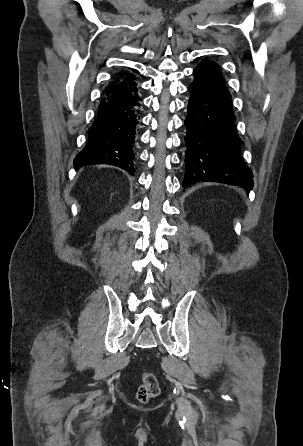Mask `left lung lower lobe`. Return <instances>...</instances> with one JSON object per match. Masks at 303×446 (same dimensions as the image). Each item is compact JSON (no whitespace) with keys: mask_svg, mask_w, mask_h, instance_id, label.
I'll list each match as a JSON object with an SVG mask.
<instances>
[{"mask_svg":"<svg viewBox=\"0 0 303 446\" xmlns=\"http://www.w3.org/2000/svg\"><path fill=\"white\" fill-rule=\"evenodd\" d=\"M185 119L186 172L183 187L199 181L236 185L249 192L252 171L244 162L235 130L231 96L217 64L205 59L193 71Z\"/></svg>","mask_w":303,"mask_h":446,"instance_id":"obj_1","label":"left lung lower lobe"}]
</instances>
